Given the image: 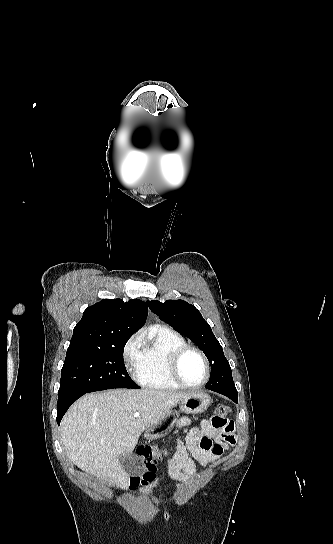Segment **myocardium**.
<instances>
[{
  "instance_id": "1",
  "label": "myocardium",
  "mask_w": 333,
  "mask_h": 544,
  "mask_svg": "<svg viewBox=\"0 0 333 544\" xmlns=\"http://www.w3.org/2000/svg\"><path fill=\"white\" fill-rule=\"evenodd\" d=\"M190 352H194L196 354H198L204 364H205V367H206V377L205 379L199 383V384H189L187 383L182 375H181V370H180V367H181V362L183 360V358ZM168 370H169V374L171 376V378L181 387H184V388H188V389H199L203 386H205L208 381L210 380V377H211V365H210V362H209V359L207 358V356L205 355V353L197 348V347H194V346H191V345H183L177 349H175L170 357H169V360H168Z\"/></svg>"
}]
</instances>
